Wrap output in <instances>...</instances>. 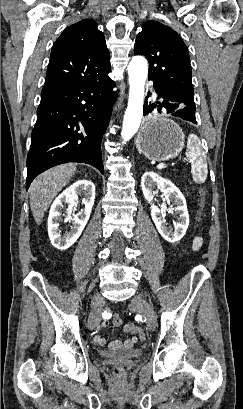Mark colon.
<instances>
[{"instance_id": "1", "label": "colon", "mask_w": 243, "mask_h": 409, "mask_svg": "<svg viewBox=\"0 0 243 409\" xmlns=\"http://www.w3.org/2000/svg\"><path fill=\"white\" fill-rule=\"evenodd\" d=\"M199 197H200V209L198 212V221H200L204 207H205V199H206V191L201 188L199 190ZM196 238V237H195ZM113 324L116 326H121L123 324L121 317L118 314H115L113 316ZM124 331L127 333H132L138 335V337L142 340L145 339V333L143 329L137 325H134L132 323H128L124 325ZM114 373L116 375L120 374L121 370L118 367H114L113 369Z\"/></svg>"}]
</instances>
